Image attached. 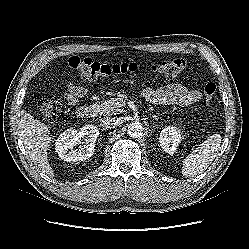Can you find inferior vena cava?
Returning a JSON list of instances; mask_svg holds the SVG:
<instances>
[{
  "label": "inferior vena cava",
  "mask_w": 249,
  "mask_h": 249,
  "mask_svg": "<svg viewBox=\"0 0 249 249\" xmlns=\"http://www.w3.org/2000/svg\"><path fill=\"white\" fill-rule=\"evenodd\" d=\"M120 121L118 118H105L104 120L101 121L102 126L110 128V127H116L119 125Z\"/></svg>",
  "instance_id": "inferior-vena-cava-1"
}]
</instances>
